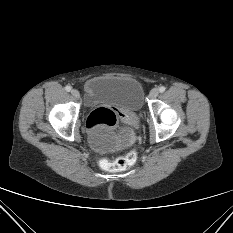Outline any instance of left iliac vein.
<instances>
[{"label":"left iliac vein","mask_w":233,"mask_h":233,"mask_svg":"<svg viewBox=\"0 0 233 233\" xmlns=\"http://www.w3.org/2000/svg\"><path fill=\"white\" fill-rule=\"evenodd\" d=\"M158 94H159V90L157 88H154L150 91L149 97L151 99H154L158 96Z\"/></svg>","instance_id":"left-iliac-vein-1"}]
</instances>
